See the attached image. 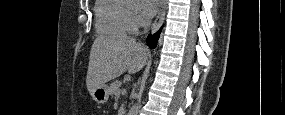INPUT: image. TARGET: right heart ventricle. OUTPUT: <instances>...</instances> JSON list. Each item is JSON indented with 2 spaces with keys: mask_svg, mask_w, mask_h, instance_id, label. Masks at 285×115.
<instances>
[{
  "mask_svg": "<svg viewBox=\"0 0 285 115\" xmlns=\"http://www.w3.org/2000/svg\"><path fill=\"white\" fill-rule=\"evenodd\" d=\"M95 15L100 36L116 37L132 31L131 13L119 0L97 1Z\"/></svg>",
  "mask_w": 285,
  "mask_h": 115,
  "instance_id": "e07e8e85",
  "label": "right heart ventricle"
}]
</instances>
